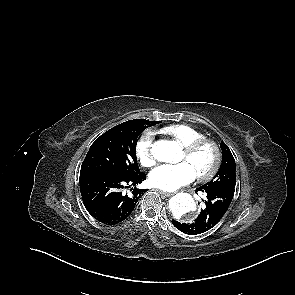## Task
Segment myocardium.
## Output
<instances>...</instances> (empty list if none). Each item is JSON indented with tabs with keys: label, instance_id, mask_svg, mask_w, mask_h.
I'll use <instances>...</instances> for the list:
<instances>
[{
	"label": "myocardium",
	"instance_id": "f54148a6",
	"mask_svg": "<svg viewBox=\"0 0 295 295\" xmlns=\"http://www.w3.org/2000/svg\"><path fill=\"white\" fill-rule=\"evenodd\" d=\"M205 145H208L212 148V150L214 152V161H213L212 166L206 172L197 174V178L201 181L211 179L219 170V167L221 165V160H222V153H221L219 145L214 140L204 137L202 139L192 142L191 144H189L183 148V152L187 156H192L200 148H202Z\"/></svg>",
	"mask_w": 295,
	"mask_h": 295
}]
</instances>
